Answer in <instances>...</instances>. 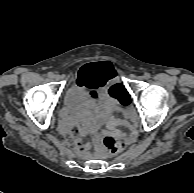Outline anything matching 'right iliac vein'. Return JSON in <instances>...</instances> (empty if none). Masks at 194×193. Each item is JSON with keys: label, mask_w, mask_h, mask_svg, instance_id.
Masks as SVG:
<instances>
[{"label": "right iliac vein", "mask_w": 194, "mask_h": 193, "mask_svg": "<svg viewBox=\"0 0 194 193\" xmlns=\"http://www.w3.org/2000/svg\"><path fill=\"white\" fill-rule=\"evenodd\" d=\"M60 78H61V77H60L59 74L53 75V79L56 80V81L60 80Z\"/></svg>", "instance_id": "1"}]
</instances>
